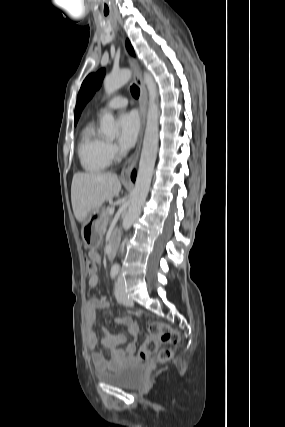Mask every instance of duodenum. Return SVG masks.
I'll list each match as a JSON object with an SVG mask.
<instances>
[{"label":"duodenum","instance_id":"duodenum-1","mask_svg":"<svg viewBox=\"0 0 285 427\" xmlns=\"http://www.w3.org/2000/svg\"><path fill=\"white\" fill-rule=\"evenodd\" d=\"M118 240H119V236L118 234L115 232L111 235V238L109 240V244L107 247V254L109 258H113L116 252V248L118 245Z\"/></svg>","mask_w":285,"mask_h":427}]
</instances>
